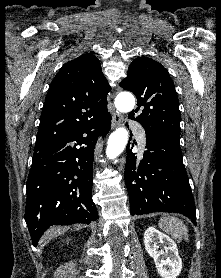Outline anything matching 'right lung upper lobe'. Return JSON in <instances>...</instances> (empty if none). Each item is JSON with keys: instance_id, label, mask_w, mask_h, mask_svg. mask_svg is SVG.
Instances as JSON below:
<instances>
[{"instance_id": "right-lung-upper-lobe-1", "label": "right lung upper lobe", "mask_w": 221, "mask_h": 278, "mask_svg": "<svg viewBox=\"0 0 221 278\" xmlns=\"http://www.w3.org/2000/svg\"><path fill=\"white\" fill-rule=\"evenodd\" d=\"M110 89L93 54H83L64 64L47 93L35 149L81 124L110 115L106 97Z\"/></svg>"}]
</instances>
